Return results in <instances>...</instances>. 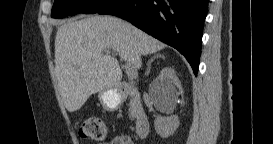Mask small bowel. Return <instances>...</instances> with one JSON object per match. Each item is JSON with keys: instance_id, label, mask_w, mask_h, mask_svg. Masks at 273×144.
Returning <instances> with one entry per match:
<instances>
[{"instance_id": "c3829d8e", "label": "small bowel", "mask_w": 273, "mask_h": 144, "mask_svg": "<svg viewBox=\"0 0 273 144\" xmlns=\"http://www.w3.org/2000/svg\"><path fill=\"white\" fill-rule=\"evenodd\" d=\"M108 143L110 144H131L132 139L128 135H119L112 138Z\"/></svg>"}]
</instances>
